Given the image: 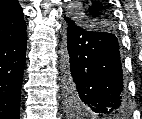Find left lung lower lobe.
<instances>
[{"label":"left lung lower lobe","instance_id":"left-lung-lower-lobe-1","mask_svg":"<svg viewBox=\"0 0 142 119\" xmlns=\"http://www.w3.org/2000/svg\"><path fill=\"white\" fill-rule=\"evenodd\" d=\"M65 98L71 113L123 119L128 106L123 92L119 45L107 31L89 30L64 17Z\"/></svg>","mask_w":142,"mask_h":119}]
</instances>
